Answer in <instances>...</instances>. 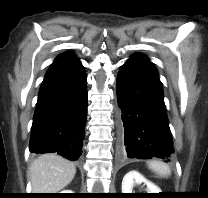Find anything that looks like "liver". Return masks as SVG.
Masks as SVG:
<instances>
[{"instance_id": "liver-1", "label": "liver", "mask_w": 208, "mask_h": 198, "mask_svg": "<svg viewBox=\"0 0 208 198\" xmlns=\"http://www.w3.org/2000/svg\"><path fill=\"white\" fill-rule=\"evenodd\" d=\"M74 163L55 154H44L29 167L28 176L33 193H57L74 178Z\"/></svg>"}]
</instances>
